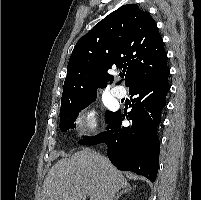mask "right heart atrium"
<instances>
[{"label":"right heart atrium","instance_id":"1","mask_svg":"<svg viewBox=\"0 0 201 200\" xmlns=\"http://www.w3.org/2000/svg\"><path fill=\"white\" fill-rule=\"evenodd\" d=\"M77 127L85 132L94 133L98 128L97 112L95 109L84 110L76 118Z\"/></svg>","mask_w":201,"mask_h":200}]
</instances>
